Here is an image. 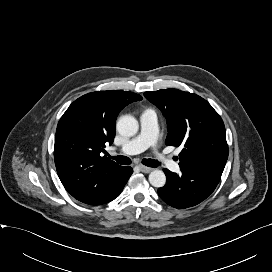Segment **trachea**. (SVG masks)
Instances as JSON below:
<instances>
[{"label": "trachea", "mask_w": 272, "mask_h": 272, "mask_svg": "<svg viewBox=\"0 0 272 272\" xmlns=\"http://www.w3.org/2000/svg\"><path fill=\"white\" fill-rule=\"evenodd\" d=\"M111 158L114 159L118 164H121V165L131 164V159L127 156L118 155V156H113ZM142 163L148 167H158L159 166V162L154 159H143Z\"/></svg>", "instance_id": "trachea-1"}]
</instances>
